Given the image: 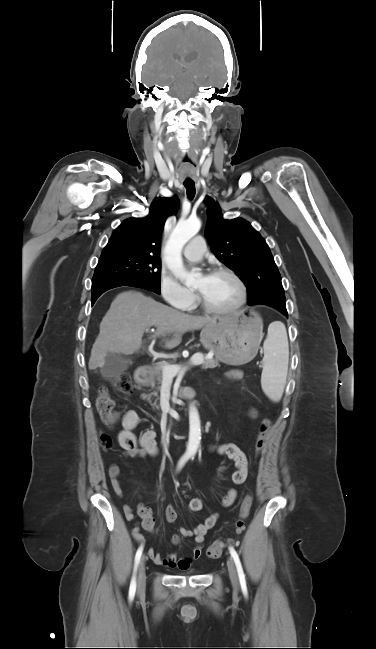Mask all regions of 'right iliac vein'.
I'll return each mask as SVG.
<instances>
[{
  "label": "right iliac vein",
  "mask_w": 376,
  "mask_h": 649,
  "mask_svg": "<svg viewBox=\"0 0 376 649\" xmlns=\"http://www.w3.org/2000/svg\"><path fill=\"white\" fill-rule=\"evenodd\" d=\"M146 585L145 557L143 556L139 563L137 590L142 592Z\"/></svg>",
  "instance_id": "right-iliac-vein-1"
}]
</instances>
